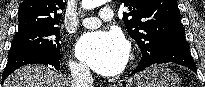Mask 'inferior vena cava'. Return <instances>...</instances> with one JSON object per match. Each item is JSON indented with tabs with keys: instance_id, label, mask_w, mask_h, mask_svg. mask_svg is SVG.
Instances as JSON below:
<instances>
[{
	"instance_id": "obj_1",
	"label": "inferior vena cava",
	"mask_w": 205,
	"mask_h": 87,
	"mask_svg": "<svg viewBox=\"0 0 205 87\" xmlns=\"http://www.w3.org/2000/svg\"><path fill=\"white\" fill-rule=\"evenodd\" d=\"M71 87H92L93 78L89 68L85 64H77L71 67Z\"/></svg>"
}]
</instances>
